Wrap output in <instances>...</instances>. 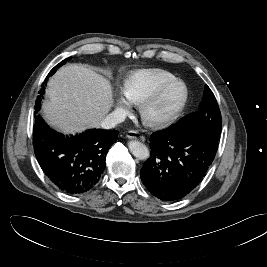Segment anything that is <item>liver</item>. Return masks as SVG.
Listing matches in <instances>:
<instances>
[{
  "label": "liver",
  "instance_id": "6515ba94",
  "mask_svg": "<svg viewBox=\"0 0 267 267\" xmlns=\"http://www.w3.org/2000/svg\"><path fill=\"white\" fill-rule=\"evenodd\" d=\"M47 94L44 118L64 133L99 127L113 105L109 81L78 64L59 69L48 81Z\"/></svg>",
  "mask_w": 267,
  "mask_h": 267
}]
</instances>
